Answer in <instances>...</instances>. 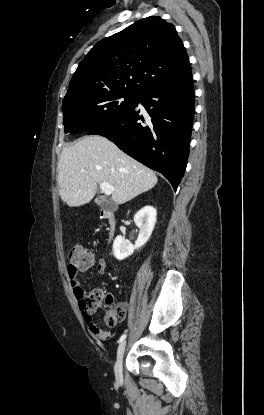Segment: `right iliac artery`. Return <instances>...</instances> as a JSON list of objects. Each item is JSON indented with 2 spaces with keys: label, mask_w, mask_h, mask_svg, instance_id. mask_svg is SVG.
Here are the masks:
<instances>
[{
  "label": "right iliac artery",
  "mask_w": 264,
  "mask_h": 415,
  "mask_svg": "<svg viewBox=\"0 0 264 415\" xmlns=\"http://www.w3.org/2000/svg\"><path fill=\"white\" fill-rule=\"evenodd\" d=\"M125 338H126V333L125 334H123L121 337H120V339H119V343H121L122 341H124L125 340Z\"/></svg>",
  "instance_id": "obj_1"
}]
</instances>
